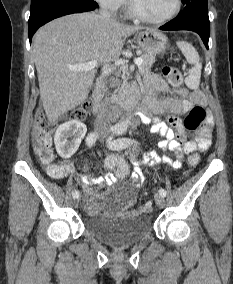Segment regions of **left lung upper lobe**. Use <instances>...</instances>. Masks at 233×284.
Wrapping results in <instances>:
<instances>
[{"mask_svg": "<svg viewBox=\"0 0 233 284\" xmlns=\"http://www.w3.org/2000/svg\"><path fill=\"white\" fill-rule=\"evenodd\" d=\"M191 1H194V0H182L183 4H185V5L190 3Z\"/></svg>", "mask_w": 233, "mask_h": 284, "instance_id": "5c2ea615", "label": "left lung upper lobe"}]
</instances>
